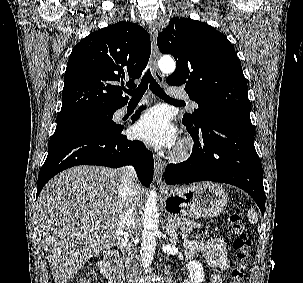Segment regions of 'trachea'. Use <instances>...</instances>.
<instances>
[{"instance_id": "1", "label": "trachea", "mask_w": 303, "mask_h": 283, "mask_svg": "<svg viewBox=\"0 0 303 283\" xmlns=\"http://www.w3.org/2000/svg\"><path fill=\"white\" fill-rule=\"evenodd\" d=\"M148 87L156 96L166 101L173 103H183V101L181 100H175L166 95V93L163 91L157 81L153 78L149 69L142 77L141 83L138 88H136L135 90H126V92L131 96V101H140Z\"/></svg>"}]
</instances>
